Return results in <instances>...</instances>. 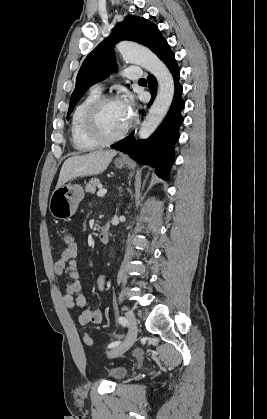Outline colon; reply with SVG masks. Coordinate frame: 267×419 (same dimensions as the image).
Here are the masks:
<instances>
[{
  "label": "colon",
  "instance_id": "5ec220e1",
  "mask_svg": "<svg viewBox=\"0 0 267 419\" xmlns=\"http://www.w3.org/2000/svg\"><path fill=\"white\" fill-rule=\"evenodd\" d=\"M62 239H63V242H64L66 248L71 247L76 243L75 239H74V236L70 232L64 233ZM83 340L88 345L91 344V342H92L91 337L88 333L83 334Z\"/></svg>",
  "mask_w": 267,
  "mask_h": 419
}]
</instances>
